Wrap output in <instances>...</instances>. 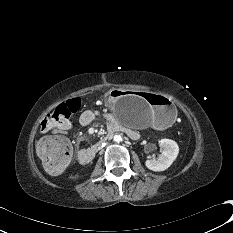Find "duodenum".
<instances>
[{
  "label": "duodenum",
  "mask_w": 233,
  "mask_h": 233,
  "mask_svg": "<svg viewBox=\"0 0 233 233\" xmlns=\"http://www.w3.org/2000/svg\"><path fill=\"white\" fill-rule=\"evenodd\" d=\"M117 131H124L129 135H134V132H132L131 130H127L124 129L120 126H118L117 124L115 125H111L109 130L107 131V133H105L99 140L98 144L90 147V148H86V149H81L78 152V160L81 164H89L90 162H92V160L95 158V155L97 154L98 151V147L102 144L105 143L107 141H109L115 132Z\"/></svg>",
  "instance_id": "obj_1"
}]
</instances>
